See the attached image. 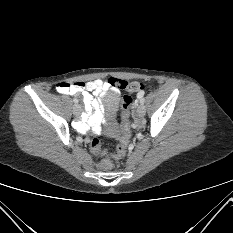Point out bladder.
Returning a JSON list of instances; mask_svg holds the SVG:
<instances>
[{
	"instance_id": "31cf9c89",
	"label": "bladder",
	"mask_w": 233,
	"mask_h": 233,
	"mask_svg": "<svg viewBox=\"0 0 233 233\" xmlns=\"http://www.w3.org/2000/svg\"><path fill=\"white\" fill-rule=\"evenodd\" d=\"M120 100V96L116 92H110L108 94L107 102L111 106H117Z\"/></svg>"
}]
</instances>
